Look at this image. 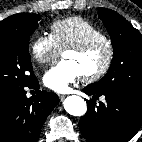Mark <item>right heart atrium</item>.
<instances>
[{"label": "right heart atrium", "mask_w": 142, "mask_h": 142, "mask_svg": "<svg viewBox=\"0 0 142 142\" xmlns=\"http://www.w3.org/2000/svg\"><path fill=\"white\" fill-rule=\"evenodd\" d=\"M30 53L37 63L46 65L57 60L60 55V49L51 35L39 34L31 41Z\"/></svg>", "instance_id": "1"}]
</instances>
